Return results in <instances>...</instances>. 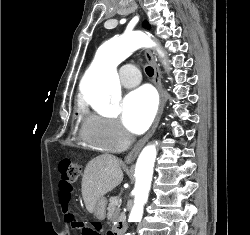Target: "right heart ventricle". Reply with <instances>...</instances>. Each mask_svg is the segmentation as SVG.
Returning <instances> with one entry per match:
<instances>
[{"mask_svg":"<svg viewBox=\"0 0 250 235\" xmlns=\"http://www.w3.org/2000/svg\"><path fill=\"white\" fill-rule=\"evenodd\" d=\"M80 111H81V128H80V139L83 143H85L86 145L92 147V148H96L99 150H105L103 148H101L100 146H98L97 144H95L88 136L87 134V122H88V115L85 112L84 109V105L80 104ZM107 151V150H106Z\"/></svg>","mask_w":250,"mask_h":235,"instance_id":"e07e8e85","label":"right heart ventricle"}]
</instances>
